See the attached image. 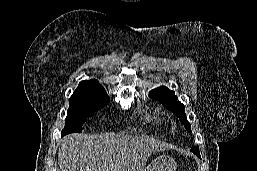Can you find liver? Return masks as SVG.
<instances>
[{
    "mask_svg": "<svg viewBox=\"0 0 257 171\" xmlns=\"http://www.w3.org/2000/svg\"><path fill=\"white\" fill-rule=\"evenodd\" d=\"M166 149L149 137L70 134L62 140L58 163L61 171H145L150 154Z\"/></svg>",
    "mask_w": 257,
    "mask_h": 171,
    "instance_id": "obj_1",
    "label": "liver"
}]
</instances>
